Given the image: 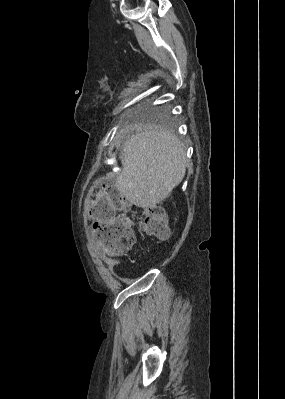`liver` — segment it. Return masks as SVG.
<instances>
[{
	"instance_id": "obj_1",
	"label": "liver",
	"mask_w": 285,
	"mask_h": 399,
	"mask_svg": "<svg viewBox=\"0 0 285 399\" xmlns=\"http://www.w3.org/2000/svg\"><path fill=\"white\" fill-rule=\"evenodd\" d=\"M116 188L131 204L148 209L166 199L183 180L187 159L177 137L147 126L123 145Z\"/></svg>"
}]
</instances>
